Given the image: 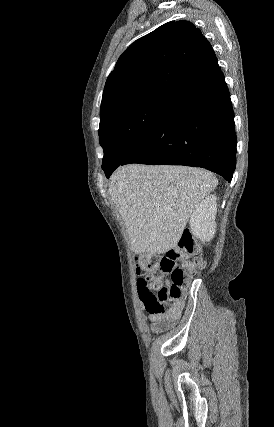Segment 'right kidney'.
<instances>
[{"instance_id": "1", "label": "right kidney", "mask_w": 274, "mask_h": 427, "mask_svg": "<svg viewBox=\"0 0 274 427\" xmlns=\"http://www.w3.org/2000/svg\"><path fill=\"white\" fill-rule=\"evenodd\" d=\"M217 198L214 194L207 196L205 200H202L198 206H195V210L190 217V227L192 235L199 237L202 243L210 241L214 237L216 231V212H217Z\"/></svg>"}]
</instances>
